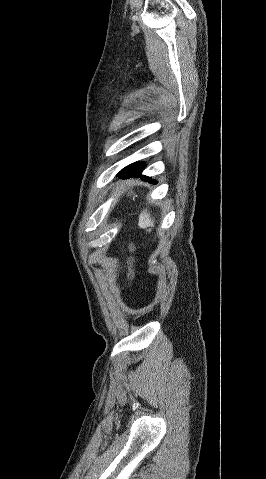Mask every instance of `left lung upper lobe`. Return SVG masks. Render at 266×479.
Segmentation results:
<instances>
[{"instance_id": "5c2ea615", "label": "left lung upper lobe", "mask_w": 266, "mask_h": 479, "mask_svg": "<svg viewBox=\"0 0 266 479\" xmlns=\"http://www.w3.org/2000/svg\"><path fill=\"white\" fill-rule=\"evenodd\" d=\"M141 164H142V163H139V162L133 163V164H131V165L125 167L124 169H122V171H123V170H126L127 168H130V167H138V166H140Z\"/></svg>"}]
</instances>
